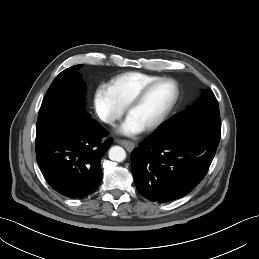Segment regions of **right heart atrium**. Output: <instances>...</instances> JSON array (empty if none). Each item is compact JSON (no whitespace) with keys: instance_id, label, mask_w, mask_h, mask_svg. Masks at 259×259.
<instances>
[{"instance_id":"obj_1","label":"right heart atrium","mask_w":259,"mask_h":259,"mask_svg":"<svg viewBox=\"0 0 259 259\" xmlns=\"http://www.w3.org/2000/svg\"><path fill=\"white\" fill-rule=\"evenodd\" d=\"M93 106L99 119L109 125H113L124 114V108L115 102L105 86L95 89Z\"/></svg>"}]
</instances>
